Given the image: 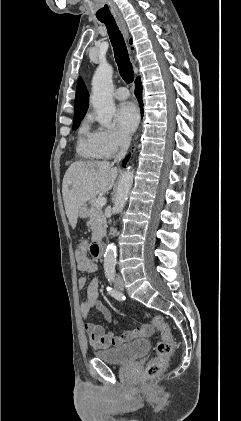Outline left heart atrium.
Wrapping results in <instances>:
<instances>
[{
  "mask_svg": "<svg viewBox=\"0 0 241 421\" xmlns=\"http://www.w3.org/2000/svg\"><path fill=\"white\" fill-rule=\"evenodd\" d=\"M116 121L122 132L130 135L139 121L137 107L131 102L122 103L116 112Z\"/></svg>",
  "mask_w": 241,
  "mask_h": 421,
  "instance_id": "39dd6f15",
  "label": "left heart atrium"
}]
</instances>
